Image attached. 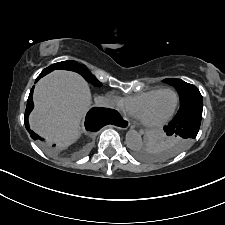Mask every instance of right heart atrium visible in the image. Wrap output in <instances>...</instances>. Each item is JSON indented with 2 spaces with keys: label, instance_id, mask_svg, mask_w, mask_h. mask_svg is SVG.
Instances as JSON below:
<instances>
[{
  "label": "right heart atrium",
  "instance_id": "right-heart-atrium-1",
  "mask_svg": "<svg viewBox=\"0 0 225 225\" xmlns=\"http://www.w3.org/2000/svg\"><path fill=\"white\" fill-rule=\"evenodd\" d=\"M118 107L123 110L122 102H118Z\"/></svg>",
  "mask_w": 225,
  "mask_h": 225
}]
</instances>
